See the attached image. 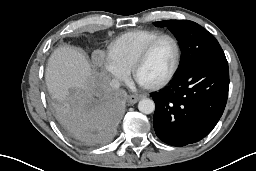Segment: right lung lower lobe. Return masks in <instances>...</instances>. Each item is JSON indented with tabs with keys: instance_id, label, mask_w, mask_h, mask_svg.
<instances>
[{
	"instance_id": "obj_1",
	"label": "right lung lower lobe",
	"mask_w": 256,
	"mask_h": 171,
	"mask_svg": "<svg viewBox=\"0 0 256 171\" xmlns=\"http://www.w3.org/2000/svg\"><path fill=\"white\" fill-rule=\"evenodd\" d=\"M124 98L121 91L102 89L97 95L72 100L60 111L59 119L74 138L90 145L105 144L116 133Z\"/></svg>"
}]
</instances>
